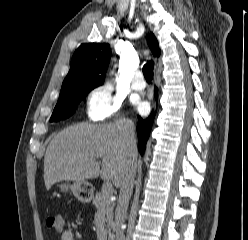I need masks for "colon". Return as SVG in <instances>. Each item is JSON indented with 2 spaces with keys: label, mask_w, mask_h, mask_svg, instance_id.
I'll list each match as a JSON object with an SVG mask.
<instances>
[{
  "label": "colon",
  "mask_w": 248,
  "mask_h": 240,
  "mask_svg": "<svg viewBox=\"0 0 248 240\" xmlns=\"http://www.w3.org/2000/svg\"><path fill=\"white\" fill-rule=\"evenodd\" d=\"M46 224L49 228L61 232L64 226L63 216L59 213L51 214L47 217Z\"/></svg>",
  "instance_id": "colon-1"
}]
</instances>
